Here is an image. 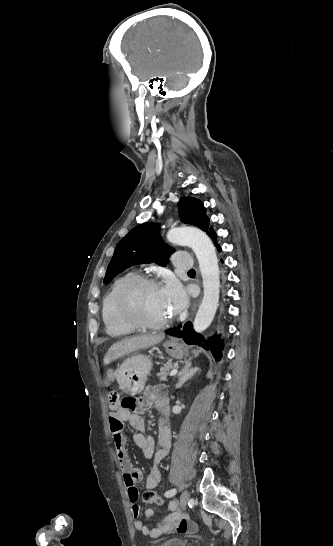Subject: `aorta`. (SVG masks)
Listing matches in <instances>:
<instances>
[{"instance_id":"obj_1","label":"aorta","mask_w":333,"mask_h":546,"mask_svg":"<svg viewBox=\"0 0 333 546\" xmlns=\"http://www.w3.org/2000/svg\"><path fill=\"white\" fill-rule=\"evenodd\" d=\"M167 239L171 243L191 247L198 259L204 296L193 326L196 332L201 333L212 323L219 305L220 279L215 248L209 237L194 227L172 229Z\"/></svg>"}]
</instances>
